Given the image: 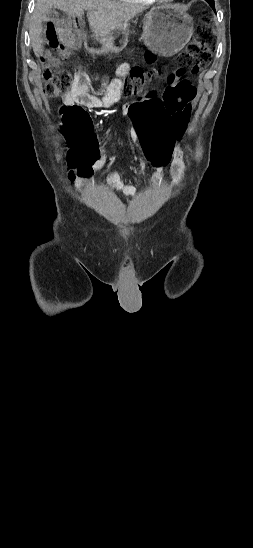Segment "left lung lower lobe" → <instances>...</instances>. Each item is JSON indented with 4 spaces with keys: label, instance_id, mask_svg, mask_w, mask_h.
I'll use <instances>...</instances> for the list:
<instances>
[{
    "label": "left lung lower lobe",
    "instance_id": "0a47b994",
    "mask_svg": "<svg viewBox=\"0 0 253 548\" xmlns=\"http://www.w3.org/2000/svg\"><path fill=\"white\" fill-rule=\"evenodd\" d=\"M209 5L215 10V7H214V0H206Z\"/></svg>",
    "mask_w": 253,
    "mask_h": 548
}]
</instances>
